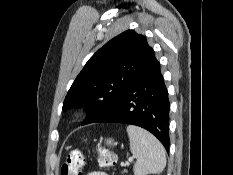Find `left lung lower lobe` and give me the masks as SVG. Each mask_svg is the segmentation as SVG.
<instances>
[{
  "mask_svg": "<svg viewBox=\"0 0 233 175\" xmlns=\"http://www.w3.org/2000/svg\"><path fill=\"white\" fill-rule=\"evenodd\" d=\"M169 100L160 63L154 56L115 106L97 122L140 126L169 149Z\"/></svg>",
  "mask_w": 233,
  "mask_h": 175,
  "instance_id": "obj_1",
  "label": "left lung lower lobe"
}]
</instances>
